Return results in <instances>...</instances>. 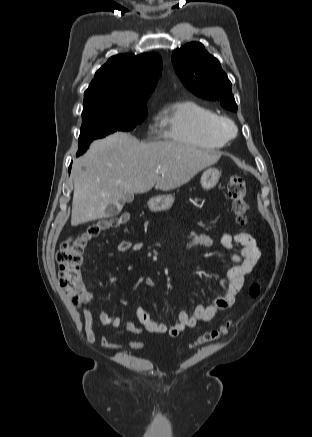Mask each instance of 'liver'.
<instances>
[{
  "instance_id": "obj_1",
  "label": "liver",
  "mask_w": 312,
  "mask_h": 437,
  "mask_svg": "<svg viewBox=\"0 0 312 437\" xmlns=\"http://www.w3.org/2000/svg\"><path fill=\"white\" fill-rule=\"evenodd\" d=\"M220 152L171 141L142 143L125 132L95 140L72 166L74 194L71 225L105 217L109 204L125 194L168 191L215 164Z\"/></svg>"
}]
</instances>
